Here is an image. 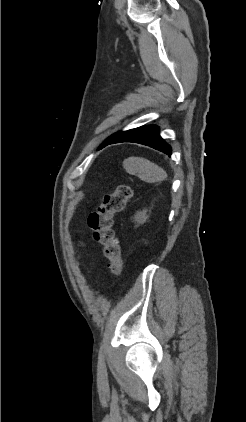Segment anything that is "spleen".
Returning <instances> with one entry per match:
<instances>
[{
  "mask_svg": "<svg viewBox=\"0 0 246 422\" xmlns=\"http://www.w3.org/2000/svg\"><path fill=\"white\" fill-rule=\"evenodd\" d=\"M123 167L127 173L147 183L161 182L167 178L163 168L143 157H129L123 161Z\"/></svg>",
  "mask_w": 246,
  "mask_h": 422,
  "instance_id": "1",
  "label": "spleen"
}]
</instances>
